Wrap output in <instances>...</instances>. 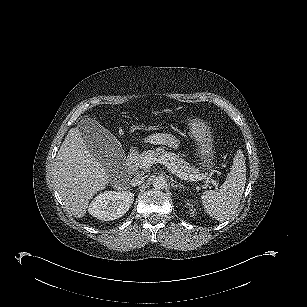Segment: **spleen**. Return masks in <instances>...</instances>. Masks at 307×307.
<instances>
[{"label": "spleen", "mask_w": 307, "mask_h": 307, "mask_svg": "<svg viewBox=\"0 0 307 307\" xmlns=\"http://www.w3.org/2000/svg\"><path fill=\"white\" fill-rule=\"evenodd\" d=\"M246 183L244 155L238 152L231 171L219 190L203 192L201 202L204 211L218 221L232 217L239 207Z\"/></svg>", "instance_id": "3e777b00"}]
</instances>
